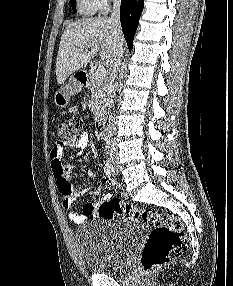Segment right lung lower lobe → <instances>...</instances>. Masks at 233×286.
<instances>
[{"instance_id":"right-lung-lower-lobe-1","label":"right lung lower lobe","mask_w":233,"mask_h":286,"mask_svg":"<svg viewBox=\"0 0 233 286\" xmlns=\"http://www.w3.org/2000/svg\"><path fill=\"white\" fill-rule=\"evenodd\" d=\"M143 7L144 0H121L120 21L129 50L133 47L134 34Z\"/></svg>"}]
</instances>
